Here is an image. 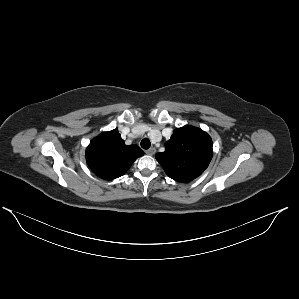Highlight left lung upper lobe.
I'll use <instances>...</instances> for the list:
<instances>
[{"mask_svg": "<svg viewBox=\"0 0 299 299\" xmlns=\"http://www.w3.org/2000/svg\"><path fill=\"white\" fill-rule=\"evenodd\" d=\"M213 155L210 136L193 126L177 128L156 159L166 174L179 182H190L208 167Z\"/></svg>", "mask_w": 299, "mask_h": 299, "instance_id": "1", "label": "left lung upper lobe"}]
</instances>
